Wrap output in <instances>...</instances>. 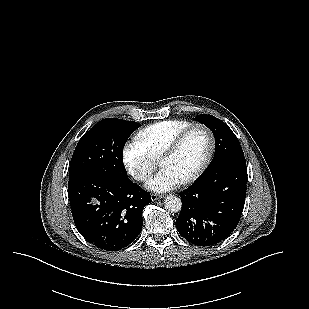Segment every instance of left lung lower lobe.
<instances>
[{
    "instance_id": "0a47b994",
    "label": "left lung lower lobe",
    "mask_w": 309,
    "mask_h": 309,
    "mask_svg": "<svg viewBox=\"0 0 309 309\" xmlns=\"http://www.w3.org/2000/svg\"><path fill=\"white\" fill-rule=\"evenodd\" d=\"M247 168L244 156L206 169L180 193L182 209L176 227L192 244L212 246L237 227L245 203Z\"/></svg>"
}]
</instances>
